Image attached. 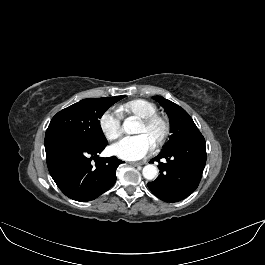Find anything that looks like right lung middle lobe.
Listing matches in <instances>:
<instances>
[{"label":"right lung middle lobe","mask_w":265,"mask_h":265,"mask_svg":"<svg viewBox=\"0 0 265 265\" xmlns=\"http://www.w3.org/2000/svg\"><path fill=\"white\" fill-rule=\"evenodd\" d=\"M125 96L90 98L81 100L58 112L51 120L45 135L66 134L92 143L106 141L99 119L114 103Z\"/></svg>","instance_id":"obj_1"}]
</instances>
